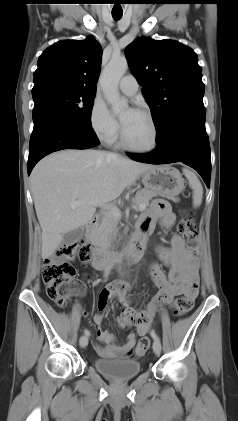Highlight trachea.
<instances>
[{
  "label": "trachea",
  "instance_id": "3493384b",
  "mask_svg": "<svg viewBox=\"0 0 238 421\" xmlns=\"http://www.w3.org/2000/svg\"><path fill=\"white\" fill-rule=\"evenodd\" d=\"M112 16L117 21L122 17V13H112Z\"/></svg>",
  "mask_w": 238,
  "mask_h": 421
}]
</instances>
